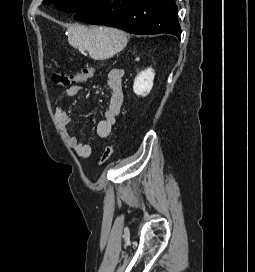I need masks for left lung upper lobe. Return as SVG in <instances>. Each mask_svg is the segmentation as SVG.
Segmentation results:
<instances>
[{
	"mask_svg": "<svg viewBox=\"0 0 255 272\" xmlns=\"http://www.w3.org/2000/svg\"><path fill=\"white\" fill-rule=\"evenodd\" d=\"M96 0H44V4L53 3L54 6L62 11L77 13L90 7Z\"/></svg>",
	"mask_w": 255,
	"mask_h": 272,
	"instance_id": "left-lung-upper-lobe-1",
	"label": "left lung upper lobe"
}]
</instances>
